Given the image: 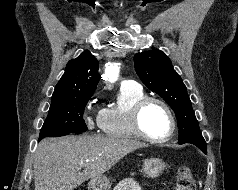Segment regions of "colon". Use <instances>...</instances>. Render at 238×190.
Instances as JSON below:
<instances>
[{"instance_id":"obj_1","label":"colon","mask_w":238,"mask_h":190,"mask_svg":"<svg viewBox=\"0 0 238 190\" xmlns=\"http://www.w3.org/2000/svg\"><path fill=\"white\" fill-rule=\"evenodd\" d=\"M174 190H196L195 179L188 167H181L178 170Z\"/></svg>"}]
</instances>
